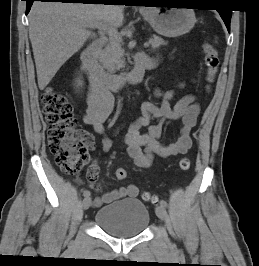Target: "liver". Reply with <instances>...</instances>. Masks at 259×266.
Returning <instances> with one entry per match:
<instances>
[{"label": "liver", "mask_w": 259, "mask_h": 266, "mask_svg": "<svg viewBox=\"0 0 259 266\" xmlns=\"http://www.w3.org/2000/svg\"><path fill=\"white\" fill-rule=\"evenodd\" d=\"M123 5L34 2L29 13V38L35 59L38 87L43 90L60 67L96 34L90 25L102 21L118 28Z\"/></svg>", "instance_id": "liver-1"}]
</instances>
